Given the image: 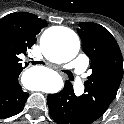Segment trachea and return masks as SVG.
I'll list each match as a JSON object with an SVG mask.
<instances>
[{
	"label": "trachea",
	"mask_w": 124,
	"mask_h": 124,
	"mask_svg": "<svg viewBox=\"0 0 124 124\" xmlns=\"http://www.w3.org/2000/svg\"><path fill=\"white\" fill-rule=\"evenodd\" d=\"M65 73L68 75L70 80H73L74 76H73V74L70 71L66 70Z\"/></svg>",
	"instance_id": "1"
}]
</instances>
